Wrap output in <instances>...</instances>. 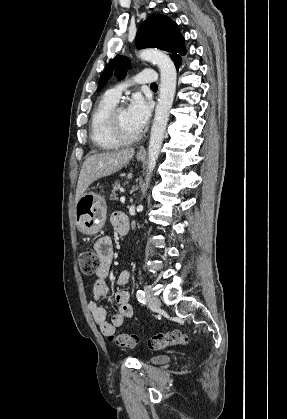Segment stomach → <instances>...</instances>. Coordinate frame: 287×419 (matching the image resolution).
Masks as SVG:
<instances>
[{
	"label": "stomach",
	"instance_id": "1",
	"mask_svg": "<svg viewBox=\"0 0 287 419\" xmlns=\"http://www.w3.org/2000/svg\"><path fill=\"white\" fill-rule=\"evenodd\" d=\"M137 160H142L137 156ZM107 207L105 199L95 192H86L75 205V222L85 235H95L104 226Z\"/></svg>",
	"mask_w": 287,
	"mask_h": 419
}]
</instances>
